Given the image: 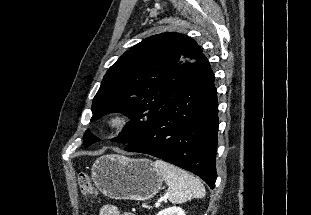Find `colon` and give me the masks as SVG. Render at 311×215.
Returning a JSON list of instances; mask_svg holds the SVG:
<instances>
[{"mask_svg":"<svg viewBox=\"0 0 311 215\" xmlns=\"http://www.w3.org/2000/svg\"><path fill=\"white\" fill-rule=\"evenodd\" d=\"M80 190L85 195H96V191L91 183L90 177L86 173H80L78 176Z\"/></svg>","mask_w":311,"mask_h":215,"instance_id":"1","label":"colon"}]
</instances>
